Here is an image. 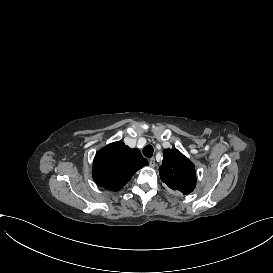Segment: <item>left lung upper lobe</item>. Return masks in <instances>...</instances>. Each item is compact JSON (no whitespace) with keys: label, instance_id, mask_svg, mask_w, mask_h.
Wrapping results in <instances>:
<instances>
[{"label":"left lung upper lobe","instance_id":"left-lung-upper-lobe-1","mask_svg":"<svg viewBox=\"0 0 273 273\" xmlns=\"http://www.w3.org/2000/svg\"><path fill=\"white\" fill-rule=\"evenodd\" d=\"M161 180L173 190L184 195L191 193L196 185L194 164L177 149L163 151L162 165L159 167Z\"/></svg>","mask_w":273,"mask_h":273}]
</instances>
